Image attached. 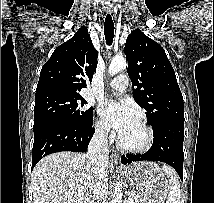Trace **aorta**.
I'll return each mask as SVG.
<instances>
[{"label": "aorta", "instance_id": "obj_1", "mask_svg": "<svg viewBox=\"0 0 214 203\" xmlns=\"http://www.w3.org/2000/svg\"><path fill=\"white\" fill-rule=\"evenodd\" d=\"M126 67H127L126 59L123 56H116L113 58L109 65L108 73L109 75L114 76L120 71L126 69ZM112 203H123L122 190L118 183L113 193Z\"/></svg>", "mask_w": 214, "mask_h": 203}]
</instances>
